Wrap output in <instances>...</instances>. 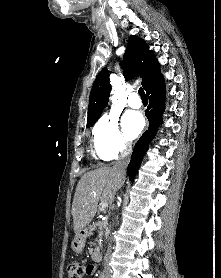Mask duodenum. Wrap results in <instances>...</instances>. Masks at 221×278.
Here are the masks:
<instances>
[{"label": "duodenum", "instance_id": "1", "mask_svg": "<svg viewBox=\"0 0 221 278\" xmlns=\"http://www.w3.org/2000/svg\"><path fill=\"white\" fill-rule=\"evenodd\" d=\"M92 259L94 260V262L96 264H98L101 261V254H100L99 250L96 248H94L92 250Z\"/></svg>", "mask_w": 221, "mask_h": 278}]
</instances>
